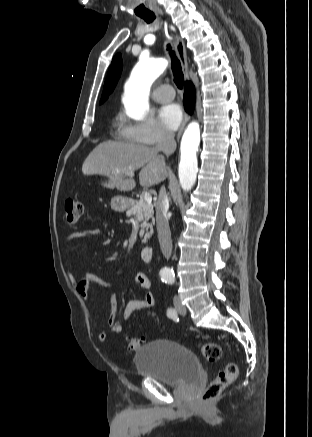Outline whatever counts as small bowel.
I'll return each mask as SVG.
<instances>
[{
    "label": "small bowel",
    "instance_id": "obj_1",
    "mask_svg": "<svg viewBox=\"0 0 312 437\" xmlns=\"http://www.w3.org/2000/svg\"><path fill=\"white\" fill-rule=\"evenodd\" d=\"M86 237L99 238L103 243L109 242V239L104 237L99 230L90 229L75 231L69 234L66 237L64 244L68 245L73 240ZM134 282L142 289V291L144 292V297L141 299H132L127 302L123 310V316L126 320L129 319L134 312L151 308L156 302L155 294L152 291L151 281L145 274L137 273L134 276ZM92 283H96L103 287L110 286V283L104 279H101L93 274H85L84 277L76 284V290L78 294L88 302L91 301ZM107 303L109 305V315L107 319L108 331L111 334H119L122 331V325L116 319L118 309L116 297L114 295L108 296ZM98 338L101 342H105L107 339V332L101 330L98 334Z\"/></svg>",
    "mask_w": 312,
    "mask_h": 437
}]
</instances>
